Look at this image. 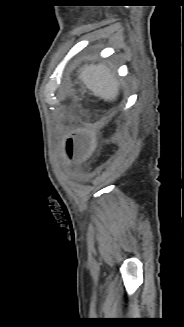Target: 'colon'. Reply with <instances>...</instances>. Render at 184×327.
Masks as SVG:
<instances>
[{
    "label": "colon",
    "mask_w": 184,
    "mask_h": 327,
    "mask_svg": "<svg viewBox=\"0 0 184 327\" xmlns=\"http://www.w3.org/2000/svg\"><path fill=\"white\" fill-rule=\"evenodd\" d=\"M93 146L92 136L86 131H81L67 138L65 152L71 160L76 149L81 150L83 153H89L93 149Z\"/></svg>",
    "instance_id": "colon-1"
}]
</instances>
